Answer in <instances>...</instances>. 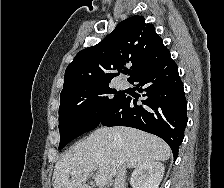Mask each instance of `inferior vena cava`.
<instances>
[{
    "label": "inferior vena cava",
    "mask_w": 224,
    "mask_h": 188,
    "mask_svg": "<svg viewBox=\"0 0 224 188\" xmlns=\"http://www.w3.org/2000/svg\"><path fill=\"white\" fill-rule=\"evenodd\" d=\"M126 167L120 166L115 177L113 188H125Z\"/></svg>",
    "instance_id": "1"
}]
</instances>
